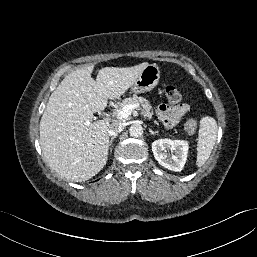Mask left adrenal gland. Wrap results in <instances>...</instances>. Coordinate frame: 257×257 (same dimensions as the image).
I'll return each instance as SVG.
<instances>
[{
    "label": "left adrenal gland",
    "mask_w": 257,
    "mask_h": 257,
    "mask_svg": "<svg viewBox=\"0 0 257 257\" xmlns=\"http://www.w3.org/2000/svg\"><path fill=\"white\" fill-rule=\"evenodd\" d=\"M149 132H150L152 135H155V134L157 133V131H156V132H153L151 129H149Z\"/></svg>",
    "instance_id": "obj_1"
}]
</instances>
